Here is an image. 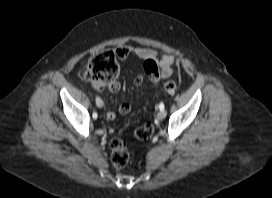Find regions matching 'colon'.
I'll list each match as a JSON object with an SVG mask.
<instances>
[{
	"mask_svg": "<svg viewBox=\"0 0 272 198\" xmlns=\"http://www.w3.org/2000/svg\"><path fill=\"white\" fill-rule=\"evenodd\" d=\"M118 59H121L117 50H103L94 55L86 66L85 78L93 85L104 88L115 81L119 72ZM144 72L149 77L158 75V65L154 60H146L143 65ZM142 81L141 78L138 79ZM176 83L168 81L164 84L166 92L172 94L176 91ZM154 130L152 122L148 121L143 126L135 129L134 136L138 140H148ZM110 132L115 133L114 127ZM111 147V163L114 168L122 169L130 164L127 144L119 137H113L110 142Z\"/></svg>",
	"mask_w": 272,
	"mask_h": 198,
	"instance_id": "5ec220e1",
	"label": "colon"
}]
</instances>
